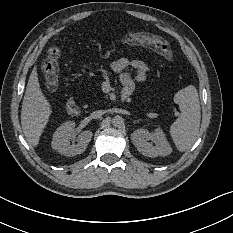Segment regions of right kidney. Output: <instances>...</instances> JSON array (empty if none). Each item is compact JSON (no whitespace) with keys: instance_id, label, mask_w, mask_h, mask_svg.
Listing matches in <instances>:
<instances>
[{"instance_id":"1","label":"right kidney","mask_w":233,"mask_h":233,"mask_svg":"<svg viewBox=\"0 0 233 233\" xmlns=\"http://www.w3.org/2000/svg\"><path fill=\"white\" fill-rule=\"evenodd\" d=\"M75 122L68 120L62 123L52 135L51 147L66 156H75L83 153L91 141L92 132L83 131L77 137V143L70 145L69 137L72 136Z\"/></svg>"}]
</instances>
